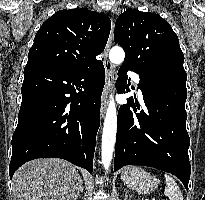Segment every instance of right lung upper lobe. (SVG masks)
Masks as SVG:
<instances>
[{
	"label": "right lung upper lobe",
	"instance_id": "obj_1",
	"mask_svg": "<svg viewBox=\"0 0 205 200\" xmlns=\"http://www.w3.org/2000/svg\"><path fill=\"white\" fill-rule=\"evenodd\" d=\"M111 28L110 19L86 8L60 10L38 30L26 68L80 69L99 60Z\"/></svg>",
	"mask_w": 205,
	"mask_h": 200
}]
</instances>
